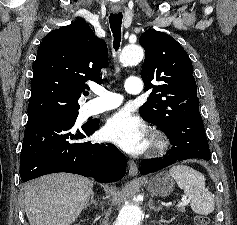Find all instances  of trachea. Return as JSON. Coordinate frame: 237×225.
I'll use <instances>...</instances> for the list:
<instances>
[{"label": "trachea", "mask_w": 237, "mask_h": 225, "mask_svg": "<svg viewBox=\"0 0 237 225\" xmlns=\"http://www.w3.org/2000/svg\"><path fill=\"white\" fill-rule=\"evenodd\" d=\"M122 18H123L122 13L110 14V17H109L111 31L114 36L113 44H114L115 50H118L120 46Z\"/></svg>", "instance_id": "trachea-1"}]
</instances>
